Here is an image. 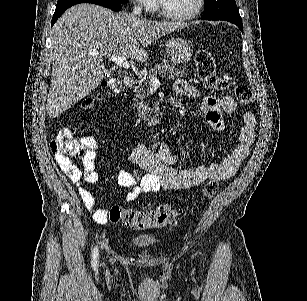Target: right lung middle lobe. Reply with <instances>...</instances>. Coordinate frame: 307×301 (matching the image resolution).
I'll return each mask as SVG.
<instances>
[{"instance_id":"obj_1","label":"right lung middle lobe","mask_w":307,"mask_h":301,"mask_svg":"<svg viewBox=\"0 0 307 301\" xmlns=\"http://www.w3.org/2000/svg\"><path fill=\"white\" fill-rule=\"evenodd\" d=\"M77 0H58L57 2V6L62 5V4H66V3H70V2H74ZM120 3H127L128 0H118Z\"/></svg>"}]
</instances>
